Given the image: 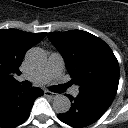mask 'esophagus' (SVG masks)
<instances>
[{
    "instance_id": "1",
    "label": "esophagus",
    "mask_w": 128,
    "mask_h": 128,
    "mask_svg": "<svg viewBox=\"0 0 128 128\" xmlns=\"http://www.w3.org/2000/svg\"><path fill=\"white\" fill-rule=\"evenodd\" d=\"M44 95L47 96V97H50V98H52V99L57 96L56 93H53V92L48 91V90H45V91H44Z\"/></svg>"
}]
</instances>
